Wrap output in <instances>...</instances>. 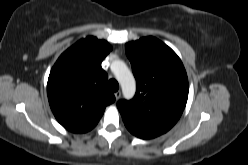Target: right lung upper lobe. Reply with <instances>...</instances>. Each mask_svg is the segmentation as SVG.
<instances>
[{"mask_svg": "<svg viewBox=\"0 0 248 165\" xmlns=\"http://www.w3.org/2000/svg\"><path fill=\"white\" fill-rule=\"evenodd\" d=\"M112 47L89 36L66 50L51 69L47 94L58 122L74 133L94 128L115 96L107 90L101 62Z\"/></svg>", "mask_w": 248, "mask_h": 165, "instance_id": "right-lung-upper-lobe-1", "label": "right lung upper lobe"}]
</instances>
